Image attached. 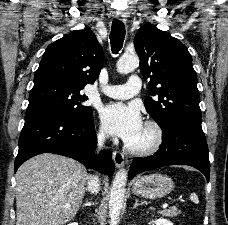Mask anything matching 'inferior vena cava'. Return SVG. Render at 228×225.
Here are the masks:
<instances>
[{
  "mask_svg": "<svg viewBox=\"0 0 228 225\" xmlns=\"http://www.w3.org/2000/svg\"><path fill=\"white\" fill-rule=\"evenodd\" d=\"M105 141V135L104 133H99L98 135V147L101 149L103 147ZM87 191H90V193H98L99 191V179L98 177H89V181L87 183Z\"/></svg>",
  "mask_w": 228,
  "mask_h": 225,
  "instance_id": "602c4592",
  "label": "inferior vena cava"
}]
</instances>
